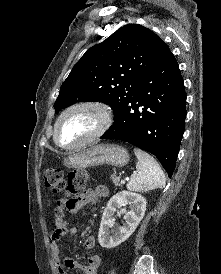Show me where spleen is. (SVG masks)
I'll use <instances>...</instances> for the list:
<instances>
[{
    "label": "spleen",
    "instance_id": "obj_1",
    "mask_svg": "<svg viewBox=\"0 0 221 274\" xmlns=\"http://www.w3.org/2000/svg\"><path fill=\"white\" fill-rule=\"evenodd\" d=\"M134 153L138 162L136 171L127 183V189L135 192H148L156 188H164L166 178L156 160L138 148H134Z\"/></svg>",
    "mask_w": 221,
    "mask_h": 274
}]
</instances>
